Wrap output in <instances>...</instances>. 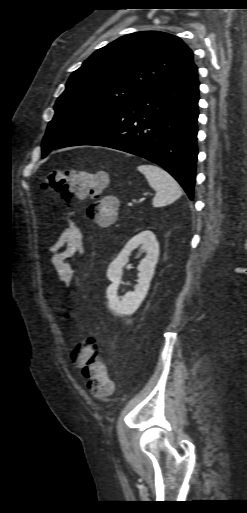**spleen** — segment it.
Here are the masks:
<instances>
[{
    "mask_svg": "<svg viewBox=\"0 0 247 513\" xmlns=\"http://www.w3.org/2000/svg\"><path fill=\"white\" fill-rule=\"evenodd\" d=\"M138 171L144 174L150 186L156 191L153 206L158 208L173 203L182 195L177 181L162 168L152 164H140Z\"/></svg>",
    "mask_w": 247,
    "mask_h": 513,
    "instance_id": "1",
    "label": "spleen"
}]
</instances>
